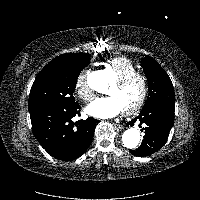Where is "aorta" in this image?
<instances>
[{"mask_svg":"<svg viewBox=\"0 0 200 200\" xmlns=\"http://www.w3.org/2000/svg\"><path fill=\"white\" fill-rule=\"evenodd\" d=\"M89 85L92 89L103 93L106 82L101 72L93 73L89 77ZM140 132L136 128H129L122 135V143L128 149H135L140 142Z\"/></svg>","mask_w":200,"mask_h":200,"instance_id":"1","label":"aorta"}]
</instances>
